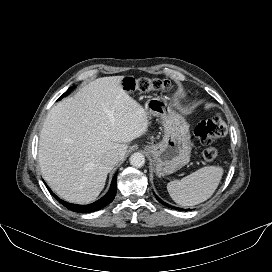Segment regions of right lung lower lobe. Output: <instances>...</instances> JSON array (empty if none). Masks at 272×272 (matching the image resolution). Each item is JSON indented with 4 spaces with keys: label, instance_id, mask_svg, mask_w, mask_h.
<instances>
[{
    "label": "right lung lower lobe",
    "instance_id": "right-lung-lower-lobe-1",
    "mask_svg": "<svg viewBox=\"0 0 272 272\" xmlns=\"http://www.w3.org/2000/svg\"><path fill=\"white\" fill-rule=\"evenodd\" d=\"M116 179H117V173L114 175L112 179V183L109 189V192L99 199L98 201L89 204V205H77V204H71L68 202H65L59 197H57L55 194H52L63 206L68 208L69 210L80 212V213H89L93 211H97L105 206H107L109 203H111L116 195ZM48 190L51 192L50 188Z\"/></svg>",
    "mask_w": 272,
    "mask_h": 272
}]
</instances>
